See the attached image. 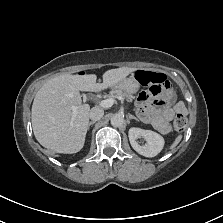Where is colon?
I'll use <instances>...</instances> for the list:
<instances>
[{
	"instance_id": "colon-1",
	"label": "colon",
	"mask_w": 223,
	"mask_h": 223,
	"mask_svg": "<svg viewBox=\"0 0 223 223\" xmlns=\"http://www.w3.org/2000/svg\"><path fill=\"white\" fill-rule=\"evenodd\" d=\"M137 81L144 86H153L168 83L166 76L162 73L137 71L135 74ZM187 126V118L183 112L177 113L174 119V128L182 132Z\"/></svg>"
}]
</instances>
